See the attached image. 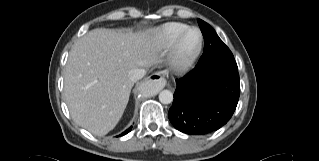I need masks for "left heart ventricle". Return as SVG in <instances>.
Returning <instances> with one entry per match:
<instances>
[{"label":"left heart ventricle","mask_w":319,"mask_h":161,"mask_svg":"<svg viewBox=\"0 0 319 161\" xmlns=\"http://www.w3.org/2000/svg\"><path fill=\"white\" fill-rule=\"evenodd\" d=\"M199 42V34L197 31L188 32L182 40L181 43V53L183 55H188L195 50Z\"/></svg>","instance_id":"b2bd125f"}]
</instances>
